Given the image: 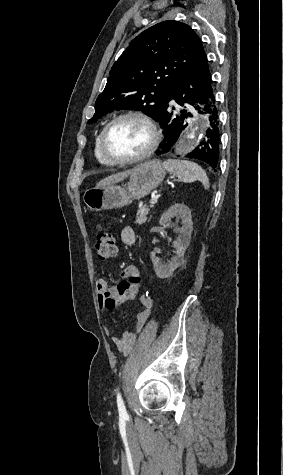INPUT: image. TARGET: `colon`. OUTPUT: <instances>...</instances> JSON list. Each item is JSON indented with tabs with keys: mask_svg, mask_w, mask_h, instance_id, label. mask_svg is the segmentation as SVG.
<instances>
[{
	"mask_svg": "<svg viewBox=\"0 0 283 475\" xmlns=\"http://www.w3.org/2000/svg\"><path fill=\"white\" fill-rule=\"evenodd\" d=\"M98 232L95 238V251L96 258L99 262H106L112 256L117 253V247L115 243V238L112 231L101 225L97 226ZM139 283V278L136 276L130 277V283L121 280L116 287V292L119 296L115 299L105 298V303L108 308H112L115 305L118 307L121 304H126L128 301H131L136 294L137 284Z\"/></svg>",
	"mask_w": 283,
	"mask_h": 475,
	"instance_id": "colon-1",
	"label": "colon"
}]
</instances>
